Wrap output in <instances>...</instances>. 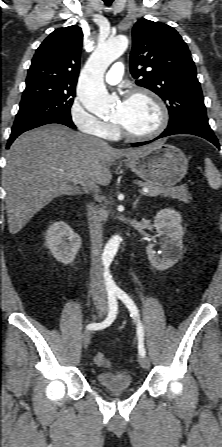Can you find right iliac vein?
Returning a JSON list of instances; mask_svg holds the SVG:
<instances>
[{
    "label": "right iliac vein",
    "mask_w": 222,
    "mask_h": 447,
    "mask_svg": "<svg viewBox=\"0 0 222 447\" xmlns=\"http://www.w3.org/2000/svg\"><path fill=\"white\" fill-rule=\"evenodd\" d=\"M105 312V307H100L98 311V318H100ZM91 339V331L86 330L82 334V344L84 348H87Z\"/></svg>",
    "instance_id": "1"
}]
</instances>
